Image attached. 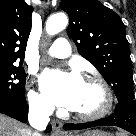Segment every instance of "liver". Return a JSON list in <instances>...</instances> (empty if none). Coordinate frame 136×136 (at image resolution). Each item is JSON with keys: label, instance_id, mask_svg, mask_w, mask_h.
<instances>
[{"label": "liver", "instance_id": "liver-1", "mask_svg": "<svg viewBox=\"0 0 136 136\" xmlns=\"http://www.w3.org/2000/svg\"><path fill=\"white\" fill-rule=\"evenodd\" d=\"M31 130L22 123L0 114V136H31Z\"/></svg>", "mask_w": 136, "mask_h": 136}]
</instances>
